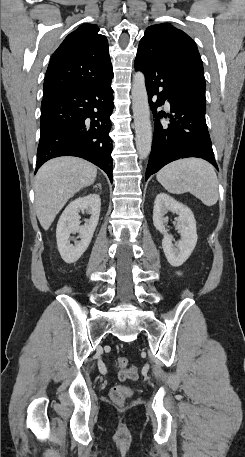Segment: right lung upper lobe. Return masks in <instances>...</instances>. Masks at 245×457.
Returning <instances> with one entry per match:
<instances>
[{"mask_svg":"<svg viewBox=\"0 0 245 457\" xmlns=\"http://www.w3.org/2000/svg\"><path fill=\"white\" fill-rule=\"evenodd\" d=\"M98 31L97 25L83 24L65 38L50 59L44 97L113 74L107 38Z\"/></svg>","mask_w":245,"mask_h":457,"instance_id":"cb5924a9","label":"right lung upper lobe"}]
</instances>
